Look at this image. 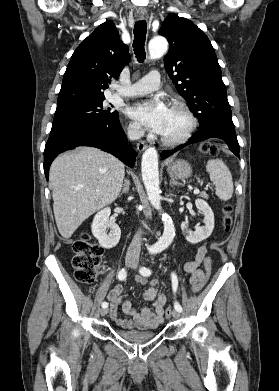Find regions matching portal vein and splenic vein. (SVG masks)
Wrapping results in <instances>:
<instances>
[{"mask_svg": "<svg viewBox=\"0 0 279 391\" xmlns=\"http://www.w3.org/2000/svg\"><path fill=\"white\" fill-rule=\"evenodd\" d=\"M198 193H199V189H195L194 194H198Z\"/></svg>", "mask_w": 279, "mask_h": 391, "instance_id": "1", "label": "portal vein and splenic vein"}]
</instances>
